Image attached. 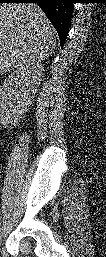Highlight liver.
<instances>
[{"mask_svg":"<svg viewBox=\"0 0 106 257\" xmlns=\"http://www.w3.org/2000/svg\"><path fill=\"white\" fill-rule=\"evenodd\" d=\"M55 45V31L37 4L0 6L1 73L45 60Z\"/></svg>","mask_w":106,"mask_h":257,"instance_id":"liver-1","label":"liver"}]
</instances>
